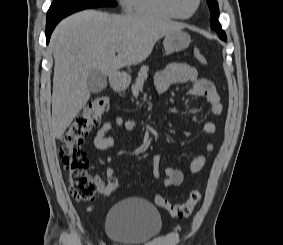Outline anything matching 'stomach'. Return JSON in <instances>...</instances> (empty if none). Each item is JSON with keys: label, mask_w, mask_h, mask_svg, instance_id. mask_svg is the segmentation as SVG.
Segmentation results:
<instances>
[{"label": "stomach", "mask_w": 283, "mask_h": 245, "mask_svg": "<svg viewBox=\"0 0 283 245\" xmlns=\"http://www.w3.org/2000/svg\"><path fill=\"white\" fill-rule=\"evenodd\" d=\"M191 42L190 36L188 33L179 30L171 32L165 35L163 45L166 54H172L175 52H180L186 49ZM129 80L125 81L127 84Z\"/></svg>", "instance_id": "1"}]
</instances>
